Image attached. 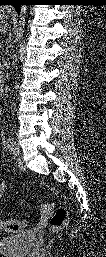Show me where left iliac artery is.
<instances>
[{
  "instance_id": "obj_1",
  "label": "left iliac artery",
  "mask_w": 106,
  "mask_h": 257,
  "mask_svg": "<svg viewBox=\"0 0 106 257\" xmlns=\"http://www.w3.org/2000/svg\"><path fill=\"white\" fill-rule=\"evenodd\" d=\"M6 144H7V148H8L9 150H12V148H13V146H14L13 138H11V137L9 136L8 139H7Z\"/></svg>"
}]
</instances>
